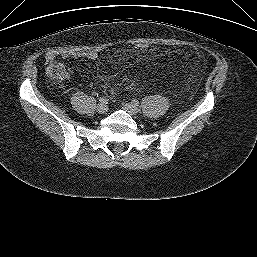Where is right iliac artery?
<instances>
[{"label":"right iliac artery","instance_id":"1","mask_svg":"<svg viewBox=\"0 0 257 257\" xmlns=\"http://www.w3.org/2000/svg\"><path fill=\"white\" fill-rule=\"evenodd\" d=\"M108 101H109V99L107 97H100L99 98L100 103H105L106 104V103H108Z\"/></svg>","mask_w":257,"mask_h":257}]
</instances>
